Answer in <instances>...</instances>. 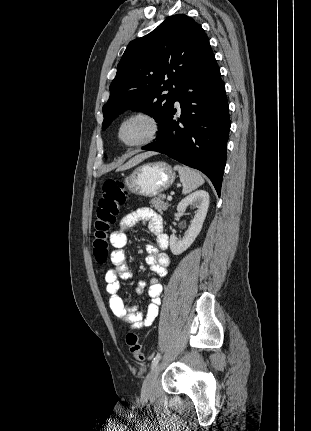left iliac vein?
I'll return each mask as SVG.
<instances>
[{
  "label": "left iliac vein",
  "instance_id": "obj_1",
  "mask_svg": "<svg viewBox=\"0 0 311 431\" xmlns=\"http://www.w3.org/2000/svg\"><path fill=\"white\" fill-rule=\"evenodd\" d=\"M162 363H157V365L151 370L149 375L147 376L142 389V397L144 399H148L154 390L157 377L161 370Z\"/></svg>",
  "mask_w": 311,
  "mask_h": 431
}]
</instances>
